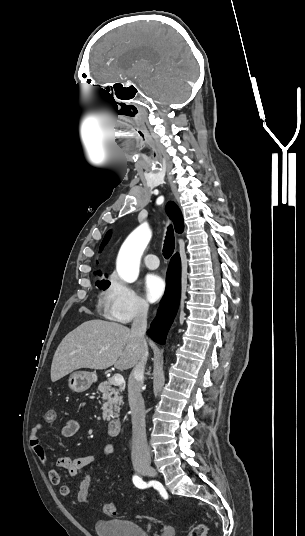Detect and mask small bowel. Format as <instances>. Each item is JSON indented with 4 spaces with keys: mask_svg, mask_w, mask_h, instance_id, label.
Listing matches in <instances>:
<instances>
[{
    "mask_svg": "<svg viewBox=\"0 0 305 536\" xmlns=\"http://www.w3.org/2000/svg\"><path fill=\"white\" fill-rule=\"evenodd\" d=\"M42 429L43 427L31 428L30 446L34 454L37 456V458L41 461L42 464L46 466L47 476L52 485H60V474L58 472V469H62L66 471L71 477L75 478L85 473L87 468H89L96 462V458L91 455L78 457V458L63 456V457H59L56 460L55 467L48 466L47 455L39 438V435ZM79 429H80L79 422L77 420L71 419L63 427L61 434L64 438H70V437H73L79 431ZM112 451H113V447L108 444L104 447L102 454L103 456H108L112 453ZM85 479H87L86 476L80 482L79 487L81 483L84 482ZM71 493H72L71 485L69 484L60 485L61 496L67 497V496H70Z\"/></svg>",
    "mask_w": 305,
    "mask_h": 536,
    "instance_id": "1",
    "label": "small bowel"
}]
</instances>
